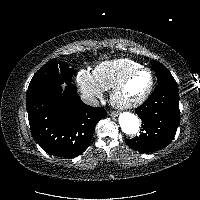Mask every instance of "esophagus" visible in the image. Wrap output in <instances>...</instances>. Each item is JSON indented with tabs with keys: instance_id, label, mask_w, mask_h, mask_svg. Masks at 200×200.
<instances>
[{
	"instance_id": "34e87169",
	"label": "esophagus",
	"mask_w": 200,
	"mask_h": 200,
	"mask_svg": "<svg viewBox=\"0 0 200 200\" xmlns=\"http://www.w3.org/2000/svg\"><path fill=\"white\" fill-rule=\"evenodd\" d=\"M109 115L112 116V117H116V116H118V113L115 112V111H110Z\"/></svg>"
}]
</instances>
